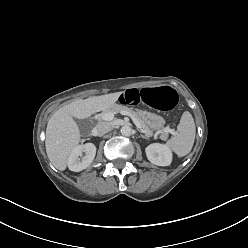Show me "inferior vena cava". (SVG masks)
I'll use <instances>...</instances> for the list:
<instances>
[{
  "instance_id": "obj_1",
  "label": "inferior vena cava",
  "mask_w": 248,
  "mask_h": 248,
  "mask_svg": "<svg viewBox=\"0 0 248 248\" xmlns=\"http://www.w3.org/2000/svg\"><path fill=\"white\" fill-rule=\"evenodd\" d=\"M94 130L98 136H103L112 130V124L109 122H100L96 125Z\"/></svg>"
}]
</instances>
